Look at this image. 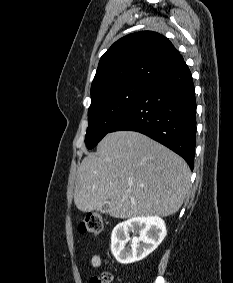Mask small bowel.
<instances>
[{"label": "small bowel", "instance_id": "small-bowel-1", "mask_svg": "<svg viewBox=\"0 0 233 283\" xmlns=\"http://www.w3.org/2000/svg\"><path fill=\"white\" fill-rule=\"evenodd\" d=\"M91 264L93 267H98L101 264V257L99 255H94L91 258Z\"/></svg>", "mask_w": 233, "mask_h": 283}]
</instances>
